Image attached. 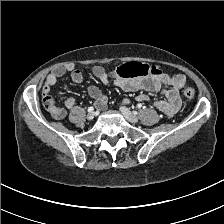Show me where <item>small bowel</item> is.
Here are the masks:
<instances>
[{
  "mask_svg": "<svg viewBox=\"0 0 224 224\" xmlns=\"http://www.w3.org/2000/svg\"><path fill=\"white\" fill-rule=\"evenodd\" d=\"M66 72H70L71 80L74 83H81L83 81V75L81 71L74 69L71 65L59 66L54 69L46 78L43 86V94L45 97L51 98V88L55 85L57 80L62 77ZM93 75L103 84L108 85L110 78L105 69L101 66H95L92 69ZM181 81H185V78L181 75H168L162 73L149 75L146 77H140L136 79H124L119 76L113 81V84L127 92L135 91H152L161 92L165 99L153 101L152 104L155 108L171 117L175 115L181 106V99L179 96V84ZM88 94L95 101L96 106L99 109H104L107 103V97L103 92L94 85L88 87ZM137 100L141 102H150V97L141 93L137 96ZM129 100L125 99L124 104ZM75 99L69 97L65 101V106L70 109L74 106ZM50 114L56 119H62L66 116V109L56 106L47 107Z\"/></svg>",
  "mask_w": 224,
  "mask_h": 224,
  "instance_id": "c3829d8e",
  "label": "small bowel"
}]
</instances>
